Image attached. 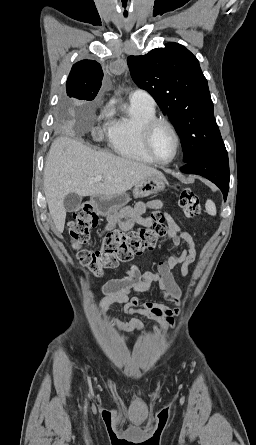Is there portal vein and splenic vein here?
<instances>
[{
  "mask_svg": "<svg viewBox=\"0 0 256 445\" xmlns=\"http://www.w3.org/2000/svg\"><path fill=\"white\" fill-rule=\"evenodd\" d=\"M94 180L96 182L102 181L103 180V176H97Z\"/></svg>",
  "mask_w": 256,
  "mask_h": 445,
  "instance_id": "1",
  "label": "portal vein and splenic vein"
}]
</instances>
